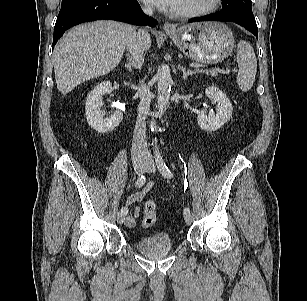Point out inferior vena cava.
<instances>
[{
	"label": "inferior vena cava",
	"instance_id": "inferior-vena-cava-1",
	"mask_svg": "<svg viewBox=\"0 0 307 301\" xmlns=\"http://www.w3.org/2000/svg\"><path fill=\"white\" fill-rule=\"evenodd\" d=\"M143 11L147 15H152L153 10L151 5H145ZM148 37V32L141 29L137 32L136 39L127 45L128 58L135 68L140 69L144 63L145 44L144 38ZM140 96V104L138 107V117L135 125L133 140H132V155L145 154L147 151L146 131L144 129L146 116L149 114L151 93L148 87L140 82L138 89Z\"/></svg>",
	"mask_w": 307,
	"mask_h": 301
}]
</instances>
